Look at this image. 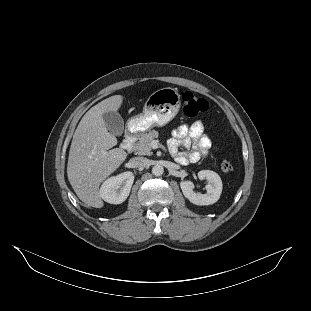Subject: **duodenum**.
<instances>
[{
    "label": "duodenum",
    "instance_id": "410a0bca",
    "mask_svg": "<svg viewBox=\"0 0 311 311\" xmlns=\"http://www.w3.org/2000/svg\"><path fill=\"white\" fill-rule=\"evenodd\" d=\"M136 140V132L135 131H128L125 134V137L121 143V149L129 152L132 150L133 146H134V142Z\"/></svg>",
    "mask_w": 311,
    "mask_h": 311
}]
</instances>
